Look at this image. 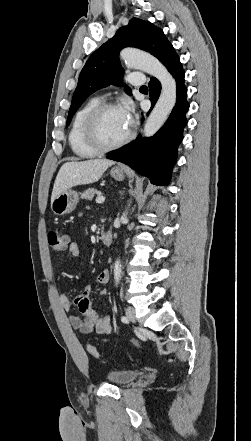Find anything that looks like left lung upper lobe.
Returning a JSON list of instances; mask_svg holds the SVG:
<instances>
[{
    "label": "left lung upper lobe",
    "instance_id": "left-lung-upper-lobe-1",
    "mask_svg": "<svg viewBox=\"0 0 251 441\" xmlns=\"http://www.w3.org/2000/svg\"><path fill=\"white\" fill-rule=\"evenodd\" d=\"M124 47L145 50L163 62L173 47L163 31L149 21L132 18L127 26L121 27L113 38L98 48L87 60L74 91L69 109L67 126L89 95L110 84L124 85L120 79L123 70L119 60V51ZM126 91L131 95V90Z\"/></svg>",
    "mask_w": 251,
    "mask_h": 441
}]
</instances>
